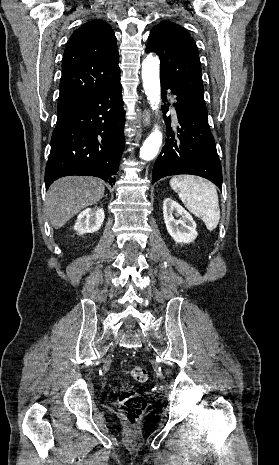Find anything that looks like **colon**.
<instances>
[{
  "label": "colon",
  "mask_w": 279,
  "mask_h": 465,
  "mask_svg": "<svg viewBox=\"0 0 279 465\" xmlns=\"http://www.w3.org/2000/svg\"><path fill=\"white\" fill-rule=\"evenodd\" d=\"M125 373L140 383L146 382L148 379L147 370L139 366L125 370ZM146 407L147 400L141 393L131 388L121 387L119 393V411L131 428L135 427L145 412Z\"/></svg>",
  "instance_id": "1"
}]
</instances>
